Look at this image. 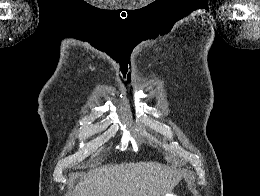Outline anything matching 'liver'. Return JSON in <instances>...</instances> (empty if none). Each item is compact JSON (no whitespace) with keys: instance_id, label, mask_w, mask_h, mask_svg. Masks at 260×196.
<instances>
[{"instance_id":"6515ba94","label":"liver","mask_w":260,"mask_h":196,"mask_svg":"<svg viewBox=\"0 0 260 196\" xmlns=\"http://www.w3.org/2000/svg\"><path fill=\"white\" fill-rule=\"evenodd\" d=\"M180 172L158 162L108 164L82 174L72 196H166Z\"/></svg>"}]
</instances>
